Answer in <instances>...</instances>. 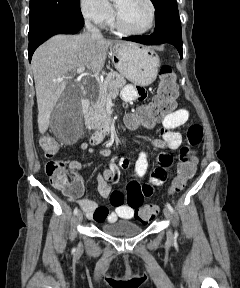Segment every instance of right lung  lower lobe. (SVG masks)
Returning a JSON list of instances; mask_svg holds the SVG:
<instances>
[{"mask_svg": "<svg viewBox=\"0 0 240 288\" xmlns=\"http://www.w3.org/2000/svg\"><path fill=\"white\" fill-rule=\"evenodd\" d=\"M84 25V20L74 21L70 19H54L42 24L32 35L29 36L28 54L29 60L36 48L55 34H75Z\"/></svg>", "mask_w": 240, "mask_h": 288, "instance_id": "obj_1", "label": "right lung lower lobe"}]
</instances>
